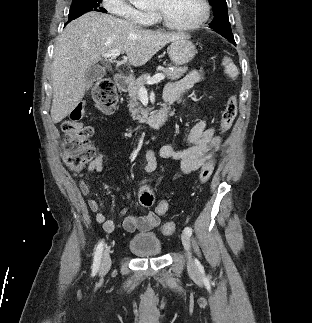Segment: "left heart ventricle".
<instances>
[{"instance_id": "obj_1", "label": "left heart ventricle", "mask_w": 312, "mask_h": 323, "mask_svg": "<svg viewBox=\"0 0 312 323\" xmlns=\"http://www.w3.org/2000/svg\"><path fill=\"white\" fill-rule=\"evenodd\" d=\"M161 14L172 22H193L194 18H204L201 0H166Z\"/></svg>"}]
</instances>
